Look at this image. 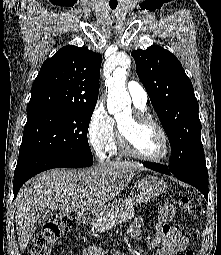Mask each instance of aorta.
<instances>
[{"instance_id":"762f6f07","label":"aorta","mask_w":221,"mask_h":255,"mask_svg":"<svg viewBox=\"0 0 221 255\" xmlns=\"http://www.w3.org/2000/svg\"><path fill=\"white\" fill-rule=\"evenodd\" d=\"M130 63V58L123 56L121 58V66L115 67L112 73H106V87L108 90L107 109L115 117L121 116L131 102L125 87L126 69L130 66Z\"/></svg>"}]
</instances>
